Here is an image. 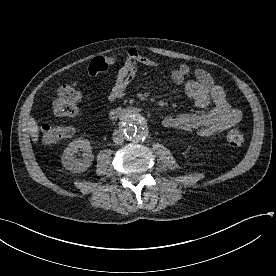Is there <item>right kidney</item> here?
I'll use <instances>...</instances> for the list:
<instances>
[{
	"instance_id": "obj_1",
	"label": "right kidney",
	"mask_w": 276,
	"mask_h": 276,
	"mask_svg": "<svg viewBox=\"0 0 276 276\" xmlns=\"http://www.w3.org/2000/svg\"><path fill=\"white\" fill-rule=\"evenodd\" d=\"M79 151H82V158H77L75 155ZM93 159L90 142L81 138L72 141L64 150L61 158L63 166L73 173L86 171Z\"/></svg>"
}]
</instances>
